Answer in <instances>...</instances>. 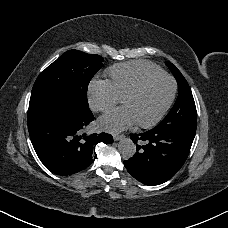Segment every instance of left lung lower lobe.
<instances>
[{
    "instance_id": "left-lung-lower-lobe-1",
    "label": "left lung lower lobe",
    "mask_w": 228,
    "mask_h": 228,
    "mask_svg": "<svg viewBox=\"0 0 228 228\" xmlns=\"http://www.w3.org/2000/svg\"><path fill=\"white\" fill-rule=\"evenodd\" d=\"M196 130L154 127L130 134L137 152L124 161L127 171L145 185H159L171 177L186 161Z\"/></svg>"
}]
</instances>
